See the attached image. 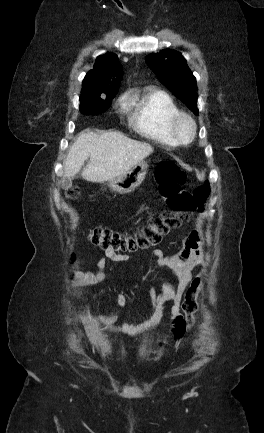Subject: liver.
<instances>
[{"label": "liver", "instance_id": "obj_1", "mask_svg": "<svg viewBox=\"0 0 264 433\" xmlns=\"http://www.w3.org/2000/svg\"><path fill=\"white\" fill-rule=\"evenodd\" d=\"M153 151L150 144L132 140L120 132H82L68 150L64 174L73 178L90 158L82 170L83 179L89 182L110 181L126 174Z\"/></svg>", "mask_w": 264, "mask_h": 433}]
</instances>
